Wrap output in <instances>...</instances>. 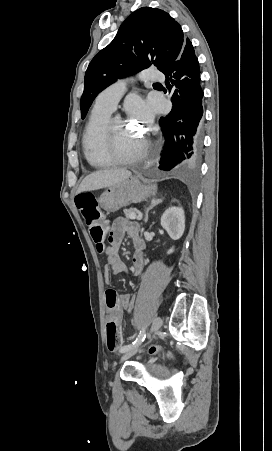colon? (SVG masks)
I'll use <instances>...</instances> for the list:
<instances>
[{
	"instance_id": "5ec220e1",
	"label": "colon",
	"mask_w": 272,
	"mask_h": 451,
	"mask_svg": "<svg viewBox=\"0 0 272 451\" xmlns=\"http://www.w3.org/2000/svg\"><path fill=\"white\" fill-rule=\"evenodd\" d=\"M75 203L80 209L84 221L90 229V235L95 243L97 251L102 252L105 248L104 237L106 236V233L100 225L103 215L99 209L98 199L91 194L84 193L75 198ZM105 340L106 348L110 353L115 352L118 347L122 346L123 342L119 335L118 323L112 319L106 321ZM138 351L141 354H144L147 351V348L144 345H141L138 348ZM148 351L154 353L156 348L150 346Z\"/></svg>"
}]
</instances>
